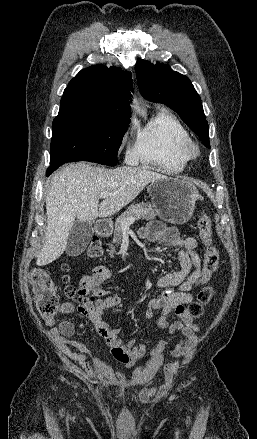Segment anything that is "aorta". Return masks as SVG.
I'll return each mask as SVG.
<instances>
[{"instance_id": "1", "label": "aorta", "mask_w": 257, "mask_h": 439, "mask_svg": "<svg viewBox=\"0 0 257 439\" xmlns=\"http://www.w3.org/2000/svg\"><path fill=\"white\" fill-rule=\"evenodd\" d=\"M134 109H135L137 112H139V113H141V114H144L143 112L140 111V109H139L138 106H134Z\"/></svg>"}]
</instances>
